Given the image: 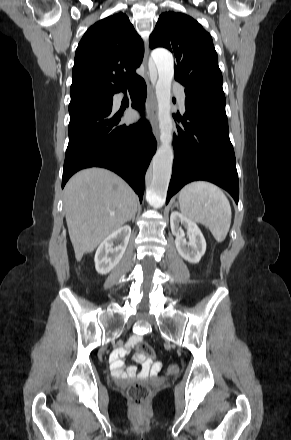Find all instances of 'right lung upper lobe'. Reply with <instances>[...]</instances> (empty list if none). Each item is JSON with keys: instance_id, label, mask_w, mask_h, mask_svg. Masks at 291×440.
I'll return each instance as SVG.
<instances>
[{"instance_id": "1", "label": "right lung upper lobe", "mask_w": 291, "mask_h": 440, "mask_svg": "<svg viewBox=\"0 0 291 440\" xmlns=\"http://www.w3.org/2000/svg\"><path fill=\"white\" fill-rule=\"evenodd\" d=\"M144 46L129 18L118 13L92 25L75 53L71 100L111 95L137 77Z\"/></svg>"}]
</instances>
